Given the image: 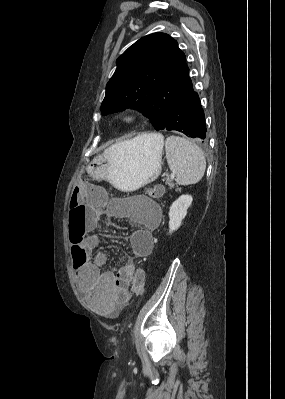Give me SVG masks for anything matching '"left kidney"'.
<instances>
[{
  "label": "left kidney",
  "instance_id": "left-kidney-1",
  "mask_svg": "<svg viewBox=\"0 0 285 399\" xmlns=\"http://www.w3.org/2000/svg\"><path fill=\"white\" fill-rule=\"evenodd\" d=\"M191 195H181L176 201L172 203L169 211V233L177 230L181 224L182 220L187 215V209L192 203Z\"/></svg>",
  "mask_w": 285,
  "mask_h": 399
}]
</instances>
